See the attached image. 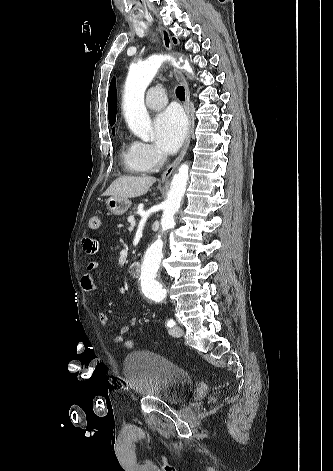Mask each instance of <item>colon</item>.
<instances>
[{
	"label": "colon",
	"instance_id": "colon-1",
	"mask_svg": "<svg viewBox=\"0 0 333 471\" xmlns=\"http://www.w3.org/2000/svg\"><path fill=\"white\" fill-rule=\"evenodd\" d=\"M99 227H100V217L97 215L92 216L89 220V228L92 230H97ZM123 344H124V347L127 349H132L135 345L132 339H125Z\"/></svg>",
	"mask_w": 333,
	"mask_h": 471
}]
</instances>
